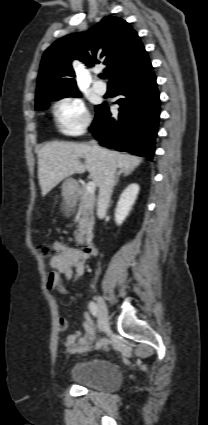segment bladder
Instances as JSON below:
<instances>
[{
	"label": "bladder",
	"instance_id": "bladder-1",
	"mask_svg": "<svg viewBox=\"0 0 208 425\" xmlns=\"http://www.w3.org/2000/svg\"><path fill=\"white\" fill-rule=\"evenodd\" d=\"M68 378L86 388L110 392L121 384V375L114 363L103 358H91L74 365Z\"/></svg>",
	"mask_w": 208,
	"mask_h": 425
}]
</instances>
